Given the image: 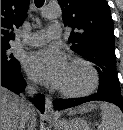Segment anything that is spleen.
I'll use <instances>...</instances> for the list:
<instances>
[{"label":"spleen","mask_w":123,"mask_h":130,"mask_svg":"<svg viewBox=\"0 0 123 130\" xmlns=\"http://www.w3.org/2000/svg\"><path fill=\"white\" fill-rule=\"evenodd\" d=\"M102 121L97 130H123V119L118 109L107 103H101Z\"/></svg>","instance_id":"obj_1"}]
</instances>
